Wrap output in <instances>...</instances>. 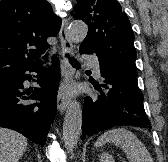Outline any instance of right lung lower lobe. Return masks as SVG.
Here are the masks:
<instances>
[{"label":"right lung lower lobe","instance_id":"right-lung-lower-lobe-1","mask_svg":"<svg viewBox=\"0 0 168 162\" xmlns=\"http://www.w3.org/2000/svg\"><path fill=\"white\" fill-rule=\"evenodd\" d=\"M27 71L38 73L39 88L23 90V82L31 81V75ZM59 74L58 59L53 57V65L47 71L38 64L0 79V127L20 132L31 141L44 146L57 110ZM31 100L41 102L32 103Z\"/></svg>","mask_w":168,"mask_h":162}]
</instances>
